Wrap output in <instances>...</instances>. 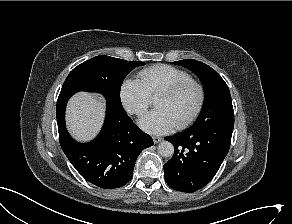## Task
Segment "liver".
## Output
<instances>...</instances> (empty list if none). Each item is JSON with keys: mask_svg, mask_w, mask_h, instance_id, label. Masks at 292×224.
<instances>
[{"mask_svg": "<svg viewBox=\"0 0 292 224\" xmlns=\"http://www.w3.org/2000/svg\"><path fill=\"white\" fill-rule=\"evenodd\" d=\"M105 105L101 98L86 92L74 95L67 107V127L71 135L79 141L91 140L99 132Z\"/></svg>", "mask_w": 292, "mask_h": 224, "instance_id": "liver-1", "label": "liver"}]
</instances>
